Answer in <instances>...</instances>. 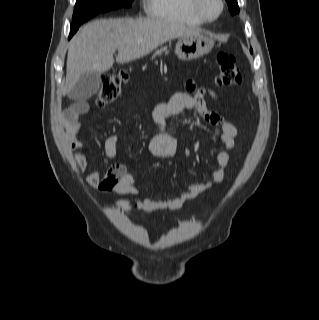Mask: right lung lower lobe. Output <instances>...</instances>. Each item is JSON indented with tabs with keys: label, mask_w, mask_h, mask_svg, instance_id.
Listing matches in <instances>:
<instances>
[{
	"label": "right lung lower lobe",
	"mask_w": 319,
	"mask_h": 320,
	"mask_svg": "<svg viewBox=\"0 0 319 320\" xmlns=\"http://www.w3.org/2000/svg\"><path fill=\"white\" fill-rule=\"evenodd\" d=\"M76 32V31H75ZM75 32H73V31H70V35H69V38H71L72 37V35L75 33Z\"/></svg>",
	"instance_id": "right-lung-lower-lobe-1"
}]
</instances>
